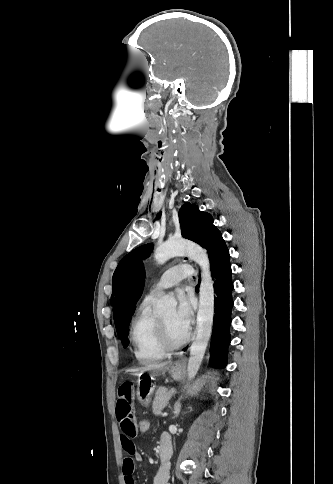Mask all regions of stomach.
I'll use <instances>...</instances> for the list:
<instances>
[{
    "mask_svg": "<svg viewBox=\"0 0 333 484\" xmlns=\"http://www.w3.org/2000/svg\"><path fill=\"white\" fill-rule=\"evenodd\" d=\"M167 371L174 380H179L183 373V366L180 363H173ZM154 391L155 387L150 380H138L137 399L142 405L147 406L149 404Z\"/></svg>",
    "mask_w": 333,
    "mask_h": 484,
    "instance_id": "obj_1",
    "label": "stomach"
}]
</instances>
